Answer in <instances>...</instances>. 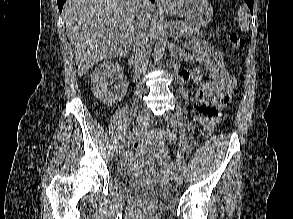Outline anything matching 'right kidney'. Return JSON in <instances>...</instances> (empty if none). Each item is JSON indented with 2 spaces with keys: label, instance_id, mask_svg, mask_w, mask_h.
Masks as SVG:
<instances>
[{
  "label": "right kidney",
  "instance_id": "ca27d5eb",
  "mask_svg": "<svg viewBox=\"0 0 293 219\" xmlns=\"http://www.w3.org/2000/svg\"><path fill=\"white\" fill-rule=\"evenodd\" d=\"M119 80L117 86H112L113 77ZM92 92L103 104H112L122 96L128 87V83L117 63L104 62L95 68L91 75Z\"/></svg>",
  "mask_w": 293,
  "mask_h": 219
}]
</instances>
